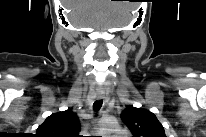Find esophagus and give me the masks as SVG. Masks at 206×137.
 I'll use <instances>...</instances> for the list:
<instances>
[{
  "label": "esophagus",
  "mask_w": 206,
  "mask_h": 137,
  "mask_svg": "<svg viewBox=\"0 0 206 137\" xmlns=\"http://www.w3.org/2000/svg\"><path fill=\"white\" fill-rule=\"evenodd\" d=\"M96 97H97L98 100H101V99L104 98V93H103V92H98V93L96 94Z\"/></svg>",
  "instance_id": "obj_1"
}]
</instances>
